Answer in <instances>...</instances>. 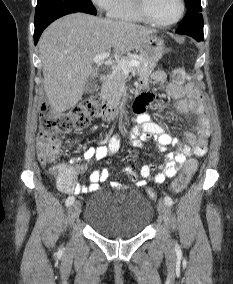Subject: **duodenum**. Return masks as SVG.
<instances>
[{
  "mask_svg": "<svg viewBox=\"0 0 233 284\" xmlns=\"http://www.w3.org/2000/svg\"><path fill=\"white\" fill-rule=\"evenodd\" d=\"M99 81L102 85H105L108 81V76L106 74H101L99 76ZM117 111L116 108L105 104L100 108L99 115L104 121H112L116 117Z\"/></svg>",
  "mask_w": 233,
  "mask_h": 284,
  "instance_id": "410a0bca",
  "label": "duodenum"
}]
</instances>
